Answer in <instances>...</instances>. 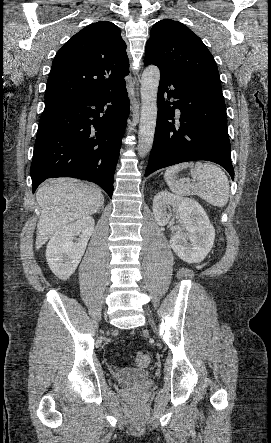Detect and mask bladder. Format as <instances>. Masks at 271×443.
<instances>
[{
	"label": "bladder",
	"mask_w": 271,
	"mask_h": 443,
	"mask_svg": "<svg viewBox=\"0 0 271 443\" xmlns=\"http://www.w3.org/2000/svg\"><path fill=\"white\" fill-rule=\"evenodd\" d=\"M149 371L146 369L123 367L114 372L115 381L122 384L140 383L149 378Z\"/></svg>",
	"instance_id": "31cf9c89"
}]
</instances>
